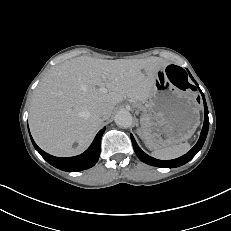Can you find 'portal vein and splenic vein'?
<instances>
[{"label":"portal vein and splenic vein","instance_id":"1","mask_svg":"<svg viewBox=\"0 0 231 231\" xmlns=\"http://www.w3.org/2000/svg\"><path fill=\"white\" fill-rule=\"evenodd\" d=\"M100 91L105 93L107 90H106V88L101 87V88H100Z\"/></svg>","mask_w":231,"mask_h":231}]
</instances>
